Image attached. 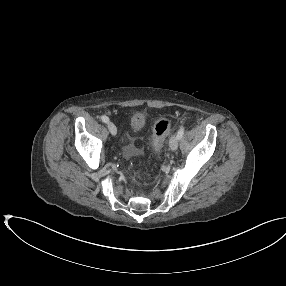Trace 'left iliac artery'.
Masks as SVG:
<instances>
[{"instance_id":"1","label":"left iliac artery","mask_w":286,"mask_h":286,"mask_svg":"<svg viewBox=\"0 0 286 286\" xmlns=\"http://www.w3.org/2000/svg\"><path fill=\"white\" fill-rule=\"evenodd\" d=\"M184 130H185V128L183 126H181L180 129L178 130L177 137L179 139L183 136Z\"/></svg>"}]
</instances>
